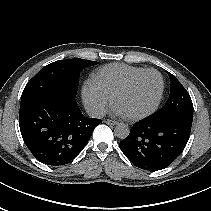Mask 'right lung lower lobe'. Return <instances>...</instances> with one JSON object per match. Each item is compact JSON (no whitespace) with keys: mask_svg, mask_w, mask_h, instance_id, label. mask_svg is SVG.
I'll return each instance as SVG.
<instances>
[{"mask_svg":"<svg viewBox=\"0 0 211 211\" xmlns=\"http://www.w3.org/2000/svg\"><path fill=\"white\" fill-rule=\"evenodd\" d=\"M100 123V119L85 117L71 97L49 96L20 106L25 144L37 160L51 166L71 162Z\"/></svg>","mask_w":211,"mask_h":211,"instance_id":"right-lung-lower-lobe-1","label":"right lung lower lobe"}]
</instances>
